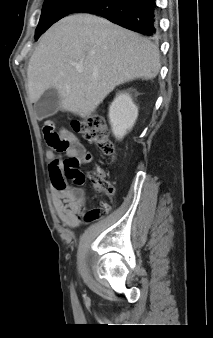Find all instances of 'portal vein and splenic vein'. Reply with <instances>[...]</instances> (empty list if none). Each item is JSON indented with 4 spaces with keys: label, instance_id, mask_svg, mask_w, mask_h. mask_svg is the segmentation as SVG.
I'll use <instances>...</instances> for the list:
<instances>
[{
    "label": "portal vein and splenic vein",
    "instance_id": "obj_1",
    "mask_svg": "<svg viewBox=\"0 0 213 338\" xmlns=\"http://www.w3.org/2000/svg\"><path fill=\"white\" fill-rule=\"evenodd\" d=\"M76 70L79 72V73H82L83 72V68L81 66H76Z\"/></svg>",
    "mask_w": 213,
    "mask_h": 338
}]
</instances>
